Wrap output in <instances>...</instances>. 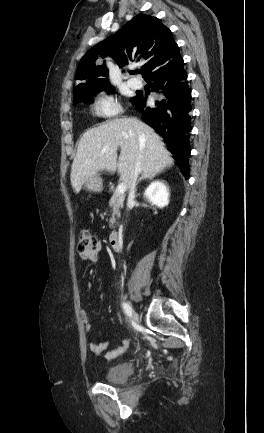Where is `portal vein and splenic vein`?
Listing matches in <instances>:
<instances>
[{
  "mask_svg": "<svg viewBox=\"0 0 264 433\" xmlns=\"http://www.w3.org/2000/svg\"><path fill=\"white\" fill-rule=\"evenodd\" d=\"M125 191H126V185L124 183H120L117 186L116 193L123 195L125 193Z\"/></svg>",
  "mask_w": 264,
  "mask_h": 433,
  "instance_id": "18ae733b",
  "label": "portal vein and splenic vein"
}]
</instances>
